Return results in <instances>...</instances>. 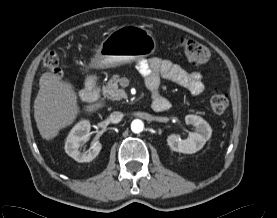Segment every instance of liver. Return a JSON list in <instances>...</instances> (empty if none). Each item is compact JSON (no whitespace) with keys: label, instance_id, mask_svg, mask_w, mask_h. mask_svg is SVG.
Segmentation results:
<instances>
[{"label":"liver","instance_id":"6515ba94","mask_svg":"<svg viewBox=\"0 0 277 218\" xmlns=\"http://www.w3.org/2000/svg\"><path fill=\"white\" fill-rule=\"evenodd\" d=\"M39 91L34 101V118L43 139L51 140L59 131L71 125L80 108L77 94L71 83L52 73H44L39 80ZM102 107V103L86 106V112Z\"/></svg>","mask_w":277,"mask_h":218}]
</instances>
